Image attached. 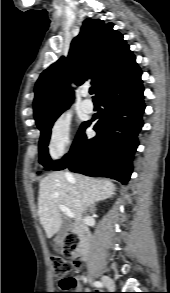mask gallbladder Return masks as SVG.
I'll return each instance as SVG.
<instances>
[{
    "instance_id": "obj_1",
    "label": "gallbladder",
    "mask_w": 170,
    "mask_h": 293,
    "mask_svg": "<svg viewBox=\"0 0 170 293\" xmlns=\"http://www.w3.org/2000/svg\"><path fill=\"white\" fill-rule=\"evenodd\" d=\"M69 227H70V224L68 222L63 223V225L61 226L59 232L57 233L55 237V248L59 247L63 243L64 239L68 235Z\"/></svg>"
}]
</instances>
